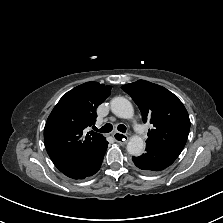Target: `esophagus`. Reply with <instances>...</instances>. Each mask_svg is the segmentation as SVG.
I'll list each match as a JSON object with an SVG mask.
<instances>
[{
	"label": "esophagus",
	"instance_id": "34e87169",
	"mask_svg": "<svg viewBox=\"0 0 223 223\" xmlns=\"http://www.w3.org/2000/svg\"><path fill=\"white\" fill-rule=\"evenodd\" d=\"M113 138L121 144L127 143L128 139H129V137L126 134H122L120 132H114Z\"/></svg>",
	"mask_w": 223,
	"mask_h": 223
}]
</instances>
